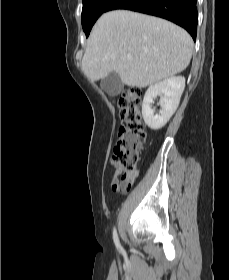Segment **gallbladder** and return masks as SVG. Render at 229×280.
Returning <instances> with one entry per match:
<instances>
[{
    "label": "gallbladder",
    "instance_id": "obj_1",
    "mask_svg": "<svg viewBox=\"0 0 229 280\" xmlns=\"http://www.w3.org/2000/svg\"><path fill=\"white\" fill-rule=\"evenodd\" d=\"M100 86L110 96H116L122 90L123 83L117 73L111 72L102 79Z\"/></svg>",
    "mask_w": 229,
    "mask_h": 280
}]
</instances>
